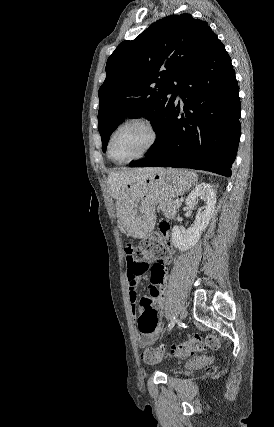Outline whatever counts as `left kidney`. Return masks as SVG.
Wrapping results in <instances>:
<instances>
[{"mask_svg":"<svg viewBox=\"0 0 274 427\" xmlns=\"http://www.w3.org/2000/svg\"><path fill=\"white\" fill-rule=\"evenodd\" d=\"M198 200H203L205 206H203V208H199L194 225L188 227L186 231H181V229H179V225H174L172 229V243L175 247H178L180 251H186V249L193 247V245L197 243L202 231L206 229L215 212L216 194L210 184H205V182H203V184L196 186V188L192 190L191 194H189L186 200V206L194 208Z\"/></svg>","mask_w":274,"mask_h":427,"instance_id":"1","label":"left kidney"}]
</instances>
